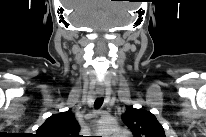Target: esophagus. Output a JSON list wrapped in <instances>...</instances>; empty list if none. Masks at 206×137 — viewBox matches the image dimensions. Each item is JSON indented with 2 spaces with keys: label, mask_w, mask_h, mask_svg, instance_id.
<instances>
[{
  "label": "esophagus",
  "mask_w": 206,
  "mask_h": 137,
  "mask_svg": "<svg viewBox=\"0 0 206 137\" xmlns=\"http://www.w3.org/2000/svg\"><path fill=\"white\" fill-rule=\"evenodd\" d=\"M97 94L99 97L103 96V92H98Z\"/></svg>",
  "instance_id": "obj_1"
}]
</instances>
